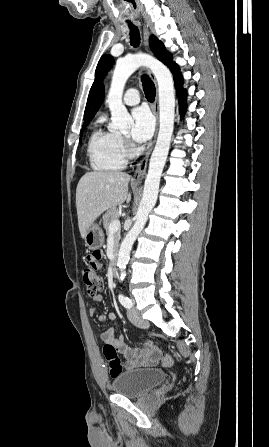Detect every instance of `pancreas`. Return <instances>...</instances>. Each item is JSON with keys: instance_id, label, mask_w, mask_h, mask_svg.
Returning <instances> with one entry per match:
<instances>
[{"instance_id": "1", "label": "pancreas", "mask_w": 269, "mask_h": 447, "mask_svg": "<svg viewBox=\"0 0 269 447\" xmlns=\"http://www.w3.org/2000/svg\"><path fill=\"white\" fill-rule=\"evenodd\" d=\"M118 216H119V212H118V210H115V208H110V210H108V212H106V214H104L103 225H104V229H106L107 235H109V233H110L109 225L111 224V222H113V220H118ZM113 237H114L113 253H114V255H116V249L118 247V243H119L120 237H121L120 231H114Z\"/></svg>"}]
</instances>
